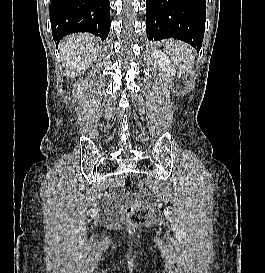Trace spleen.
<instances>
[{"label":"spleen","mask_w":265,"mask_h":273,"mask_svg":"<svg viewBox=\"0 0 265 273\" xmlns=\"http://www.w3.org/2000/svg\"><path fill=\"white\" fill-rule=\"evenodd\" d=\"M166 50L180 70H186L194 63L193 50L184 43L167 41Z\"/></svg>","instance_id":"1"}]
</instances>
